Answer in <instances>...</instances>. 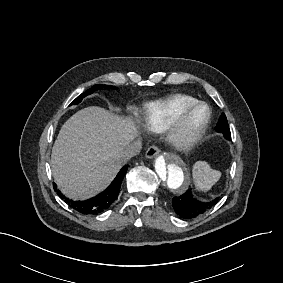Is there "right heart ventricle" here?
<instances>
[{
  "instance_id": "obj_1",
  "label": "right heart ventricle",
  "mask_w": 283,
  "mask_h": 283,
  "mask_svg": "<svg viewBox=\"0 0 283 283\" xmlns=\"http://www.w3.org/2000/svg\"><path fill=\"white\" fill-rule=\"evenodd\" d=\"M168 100H175L180 106H186L192 102L199 101L196 97L186 94H177ZM167 101V100H165ZM163 101V102H165ZM163 102H154L140 109V116L147 128L153 133H159L162 126Z\"/></svg>"
}]
</instances>
